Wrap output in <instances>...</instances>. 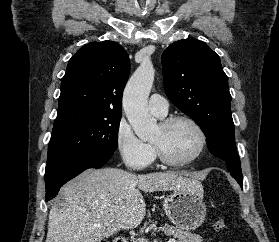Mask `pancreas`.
<instances>
[{"instance_id":"1","label":"pancreas","mask_w":279,"mask_h":242,"mask_svg":"<svg viewBox=\"0 0 279 242\" xmlns=\"http://www.w3.org/2000/svg\"><path fill=\"white\" fill-rule=\"evenodd\" d=\"M155 231H162L167 236H173L177 239L176 242H203V238L197 234H191L189 231H184L178 227H173L168 224L154 229ZM133 242H146L144 239L137 238Z\"/></svg>"}]
</instances>
